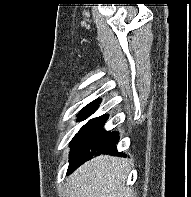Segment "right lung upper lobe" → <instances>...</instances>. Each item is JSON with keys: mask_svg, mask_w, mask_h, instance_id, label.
Masks as SVG:
<instances>
[{"mask_svg": "<svg viewBox=\"0 0 191 197\" xmlns=\"http://www.w3.org/2000/svg\"><path fill=\"white\" fill-rule=\"evenodd\" d=\"M100 99H97L91 103H89L87 106H85L82 110H93L95 107L98 106V104L100 103Z\"/></svg>", "mask_w": 191, "mask_h": 197, "instance_id": "cb5924a9", "label": "right lung upper lobe"}]
</instances>
